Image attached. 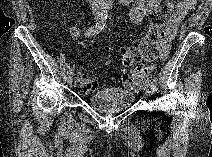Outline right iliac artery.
Returning <instances> with one entry per match:
<instances>
[{"instance_id": "1", "label": "right iliac artery", "mask_w": 212, "mask_h": 157, "mask_svg": "<svg viewBox=\"0 0 212 157\" xmlns=\"http://www.w3.org/2000/svg\"><path fill=\"white\" fill-rule=\"evenodd\" d=\"M106 19H107V15L102 14L99 17L97 23L93 27H91L85 31V36H93V35L98 34L100 31H102L105 27ZM68 74H73V70L69 69Z\"/></svg>"}]
</instances>
